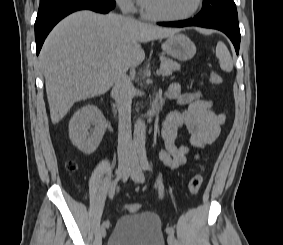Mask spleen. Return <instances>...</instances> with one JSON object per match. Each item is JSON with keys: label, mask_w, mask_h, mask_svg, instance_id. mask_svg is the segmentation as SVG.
<instances>
[{"label": "spleen", "mask_w": 283, "mask_h": 245, "mask_svg": "<svg viewBox=\"0 0 283 245\" xmlns=\"http://www.w3.org/2000/svg\"><path fill=\"white\" fill-rule=\"evenodd\" d=\"M216 56L219 59L220 67L226 72L233 69V61L229 50L223 42H218L216 46Z\"/></svg>", "instance_id": "3e777b00"}]
</instances>
